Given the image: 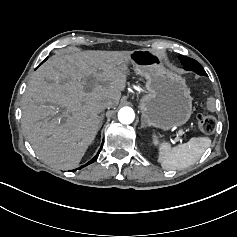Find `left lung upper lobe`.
I'll use <instances>...</instances> for the list:
<instances>
[{
	"instance_id": "5c2ea615",
	"label": "left lung upper lobe",
	"mask_w": 237,
	"mask_h": 237,
	"mask_svg": "<svg viewBox=\"0 0 237 237\" xmlns=\"http://www.w3.org/2000/svg\"><path fill=\"white\" fill-rule=\"evenodd\" d=\"M180 59L185 66V70L193 71L201 76H208L203 67L196 60L184 56H180Z\"/></svg>"
}]
</instances>
